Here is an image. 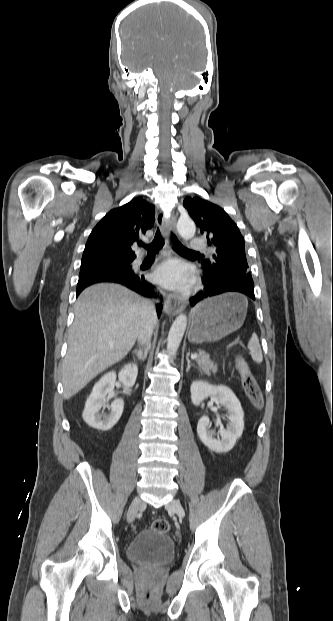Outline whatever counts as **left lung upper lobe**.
<instances>
[{"mask_svg": "<svg viewBox=\"0 0 333 621\" xmlns=\"http://www.w3.org/2000/svg\"><path fill=\"white\" fill-rule=\"evenodd\" d=\"M191 218L207 235L213 256L201 261L203 271L216 278L229 274L250 275L246 260L244 238L237 225L218 205L199 197H186L183 201Z\"/></svg>", "mask_w": 333, "mask_h": 621, "instance_id": "1", "label": "left lung upper lobe"}]
</instances>
